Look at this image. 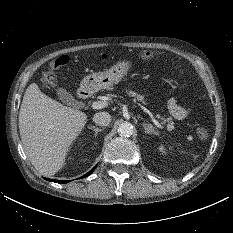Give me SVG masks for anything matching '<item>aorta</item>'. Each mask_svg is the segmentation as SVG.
<instances>
[{"label": "aorta", "instance_id": "762f6f07", "mask_svg": "<svg viewBox=\"0 0 233 233\" xmlns=\"http://www.w3.org/2000/svg\"><path fill=\"white\" fill-rule=\"evenodd\" d=\"M118 133L123 137H130L134 133V127L130 122H123L118 127Z\"/></svg>", "mask_w": 233, "mask_h": 233}]
</instances>
